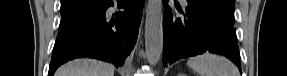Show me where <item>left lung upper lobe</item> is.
Returning <instances> with one entry per match:
<instances>
[{
  "mask_svg": "<svg viewBox=\"0 0 287 76\" xmlns=\"http://www.w3.org/2000/svg\"><path fill=\"white\" fill-rule=\"evenodd\" d=\"M187 2L220 16L232 26L234 24V0H187Z\"/></svg>",
  "mask_w": 287,
  "mask_h": 76,
  "instance_id": "left-lung-upper-lobe-1",
  "label": "left lung upper lobe"
}]
</instances>
